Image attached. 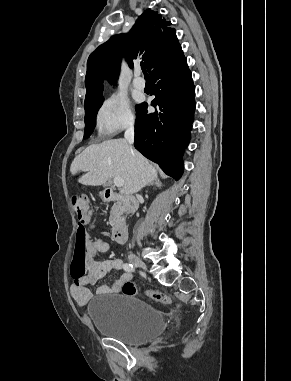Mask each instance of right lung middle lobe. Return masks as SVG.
Listing matches in <instances>:
<instances>
[{"label":"right lung middle lobe","instance_id":"right-lung-middle-lobe-1","mask_svg":"<svg viewBox=\"0 0 291 381\" xmlns=\"http://www.w3.org/2000/svg\"><path fill=\"white\" fill-rule=\"evenodd\" d=\"M103 97H99L96 100L85 104V133L84 139L88 138L95 127L96 114L103 103Z\"/></svg>","mask_w":291,"mask_h":381}]
</instances>
